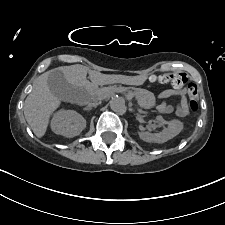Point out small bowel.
<instances>
[{"instance_id":"c3829d8e","label":"small bowel","mask_w":225,"mask_h":225,"mask_svg":"<svg viewBox=\"0 0 225 225\" xmlns=\"http://www.w3.org/2000/svg\"><path fill=\"white\" fill-rule=\"evenodd\" d=\"M187 90L183 89H175V90H166L161 94L162 98H177L178 103L176 106H173L169 103H162L157 107V110L163 114H170L175 112L178 117H185L188 115V107L185 100V95Z\"/></svg>"}]
</instances>
